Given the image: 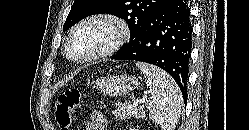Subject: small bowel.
<instances>
[{"instance_id": "obj_1", "label": "small bowel", "mask_w": 249, "mask_h": 130, "mask_svg": "<svg viewBox=\"0 0 249 130\" xmlns=\"http://www.w3.org/2000/svg\"><path fill=\"white\" fill-rule=\"evenodd\" d=\"M107 119L106 116L98 110L91 113L90 120L85 126V130H106Z\"/></svg>"}]
</instances>
